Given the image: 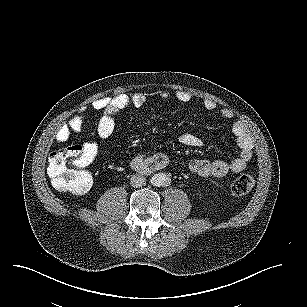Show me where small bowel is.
<instances>
[{
	"label": "small bowel",
	"instance_id": "obj_1",
	"mask_svg": "<svg viewBox=\"0 0 307 307\" xmlns=\"http://www.w3.org/2000/svg\"><path fill=\"white\" fill-rule=\"evenodd\" d=\"M161 96L166 99L169 97V94L163 92ZM176 98L180 102L187 103L191 100V95L185 91H179L176 94ZM145 102L146 97L141 93L132 95L121 94L114 98H102L93 102V109L101 111L97 128L99 137L106 139L111 136L115 128L116 119L124 109L130 106L142 107ZM202 104L206 110L217 111L223 120L230 122L231 132L236 138L239 153L230 160H215L212 162L207 160L192 161L189 165L190 171L202 177H222L229 172H241L253 157L252 138L247 133L244 125L234 119L231 110L227 108L218 109L217 104L210 99H204ZM87 113V107L80 108L67 123L60 127L56 135V140L59 144H65L73 133H78L82 130ZM179 141L184 145L192 147L203 145V141L191 133H182L179 136ZM82 150L84 159L89 165L98 154V145L95 142H87L82 146ZM166 164L167 159L161 154L150 158L139 155L132 160V167L138 170L160 169L165 167Z\"/></svg>",
	"mask_w": 307,
	"mask_h": 307
}]
</instances>
